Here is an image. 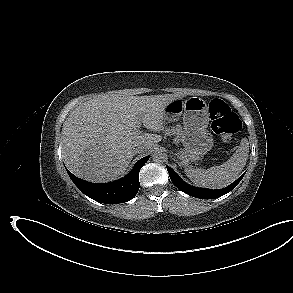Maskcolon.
Instances as JSON below:
<instances>
[{
    "label": "colon",
    "mask_w": 293,
    "mask_h": 293,
    "mask_svg": "<svg viewBox=\"0 0 293 293\" xmlns=\"http://www.w3.org/2000/svg\"><path fill=\"white\" fill-rule=\"evenodd\" d=\"M212 121V129L225 142H231L242 127L238 115L221 99L215 98L208 105Z\"/></svg>",
    "instance_id": "1"
}]
</instances>
